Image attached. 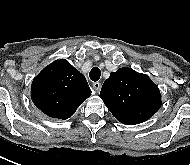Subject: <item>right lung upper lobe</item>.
<instances>
[{
  "instance_id": "1",
  "label": "right lung upper lobe",
  "mask_w": 190,
  "mask_h": 165,
  "mask_svg": "<svg viewBox=\"0 0 190 165\" xmlns=\"http://www.w3.org/2000/svg\"><path fill=\"white\" fill-rule=\"evenodd\" d=\"M90 96L91 90L84 75L65 59L56 60L45 67L31 85L32 101L52 118L71 117Z\"/></svg>"
}]
</instances>
